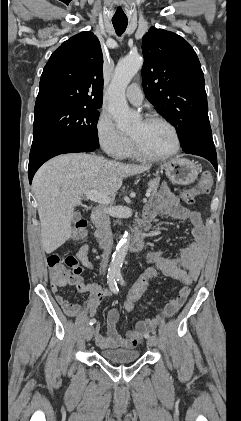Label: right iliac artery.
<instances>
[{
    "instance_id": "1",
    "label": "right iliac artery",
    "mask_w": 241,
    "mask_h": 421,
    "mask_svg": "<svg viewBox=\"0 0 241 421\" xmlns=\"http://www.w3.org/2000/svg\"><path fill=\"white\" fill-rule=\"evenodd\" d=\"M115 277H116L115 271L113 269L109 270L108 274H107V283L109 285V288H110L111 292L118 293L119 289H118L117 283L115 281ZM95 322H96L95 319H91L89 324L93 325Z\"/></svg>"
}]
</instances>
